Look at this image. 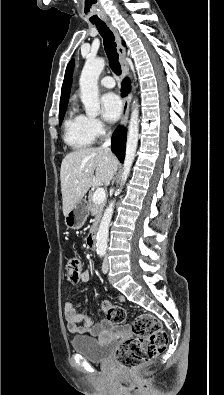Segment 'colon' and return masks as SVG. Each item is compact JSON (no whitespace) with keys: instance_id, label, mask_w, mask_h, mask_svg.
<instances>
[{"instance_id":"5ec220e1","label":"colon","mask_w":224,"mask_h":395,"mask_svg":"<svg viewBox=\"0 0 224 395\" xmlns=\"http://www.w3.org/2000/svg\"><path fill=\"white\" fill-rule=\"evenodd\" d=\"M66 272L70 280L77 281L82 274L81 261L72 257L68 260ZM103 311L114 324H122L126 319L125 310L112 303L104 302ZM131 329L135 336L119 346L116 360L126 370L140 368L160 355L167 347L168 336L161 323L153 315L142 313L136 316Z\"/></svg>"}]
</instances>
